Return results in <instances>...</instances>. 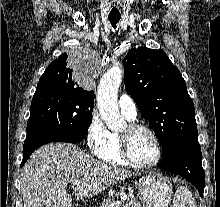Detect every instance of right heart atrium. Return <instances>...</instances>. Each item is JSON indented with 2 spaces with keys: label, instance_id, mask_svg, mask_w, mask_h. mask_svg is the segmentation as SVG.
<instances>
[{
  "label": "right heart atrium",
  "instance_id": "1",
  "mask_svg": "<svg viewBox=\"0 0 220 207\" xmlns=\"http://www.w3.org/2000/svg\"><path fill=\"white\" fill-rule=\"evenodd\" d=\"M110 132L97 110H93L87 126L86 139L90 150L95 153L108 143Z\"/></svg>",
  "mask_w": 220,
  "mask_h": 207
}]
</instances>
